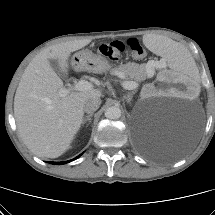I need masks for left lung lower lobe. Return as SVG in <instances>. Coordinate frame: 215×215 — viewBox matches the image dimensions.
Returning a JSON list of instances; mask_svg holds the SVG:
<instances>
[{"instance_id":"1","label":"left lung lower lobe","mask_w":215,"mask_h":215,"mask_svg":"<svg viewBox=\"0 0 215 215\" xmlns=\"http://www.w3.org/2000/svg\"><path fill=\"white\" fill-rule=\"evenodd\" d=\"M158 154L164 157H172L178 155V151L171 145H166L158 151Z\"/></svg>"}]
</instances>
